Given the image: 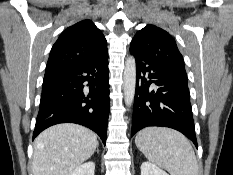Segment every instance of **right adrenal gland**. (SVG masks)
Segmentation results:
<instances>
[{
  "mask_svg": "<svg viewBox=\"0 0 233 175\" xmlns=\"http://www.w3.org/2000/svg\"><path fill=\"white\" fill-rule=\"evenodd\" d=\"M96 152H97V153H99V149H98V147H97V150H96Z\"/></svg>",
  "mask_w": 233,
  "mask_h": 175,
  "instance_id": "2a0ac1e0",
  "label": "right adrenal gland"
}]
</instances>
